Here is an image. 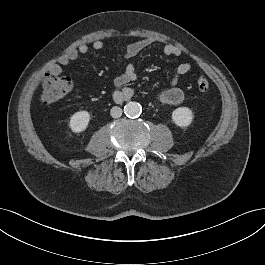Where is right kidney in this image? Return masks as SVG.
Wrapping results in <instances>:
<instances>
[{
	"instance_id": "ca27d5eb",
	"label": "right kidney",
	"mask_w": 265,
	"mask_h": 265,
	"mask_svg": "<svg viewBox=\"0 0 265 265\" xmlns=\"http://www.w3.org/2000/svg\"><path fill=\"white\" fill-rule=\"evenodd\" d=\"M90 121V114L87 111H80L73 114L69 121V127L72 132L80 133L84 131Z\"/></svg>"
}]
</instances>
